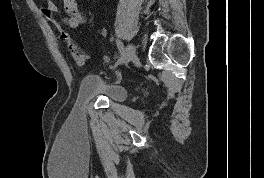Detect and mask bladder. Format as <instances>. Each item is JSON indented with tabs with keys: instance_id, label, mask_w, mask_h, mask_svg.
Here are the masks:
<instances>
[{
	"instance_id": "1",
	"label": "bladder",
	"mask_w": 264,
	"mask_h": 178,
	"mask_svg": "<svg viewBox=\"0 0 264 178\" xmlns=\"http://www.w3.org/2000/svg\"><path fill=\"white\" fill-rule=\"evenodd\" d=\"M79 95L81 98L104 97L111 101L124 102L127 98V90L123 85L102 75L91 74L82 79Z\"/></svg>"
}]
</instances>
